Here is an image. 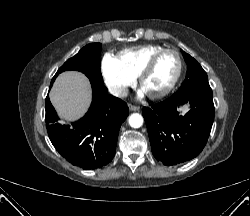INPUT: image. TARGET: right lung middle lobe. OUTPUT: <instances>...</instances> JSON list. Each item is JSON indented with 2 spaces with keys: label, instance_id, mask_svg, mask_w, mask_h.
<instances>
[{
  "label": "right lung middle lobe",
  "instance_id": "right-lung-middle-lobe-1",
  "mask_svg": "<svg viewBox=\"0 0 250 216\" xmlns=\"http://www.w3.org/2000/svg\"><path fill=\"white\" fill-rule=\"evenodd\" d=\"M102 45L93 43L84 46L75 56L68 59L57 71V75L63 71L75 70L84 73L91 83L104 84L100 70V52Z\"/></svg>",
  "mask_w": 250,
  "mask_h": 216
}]
</instances>
